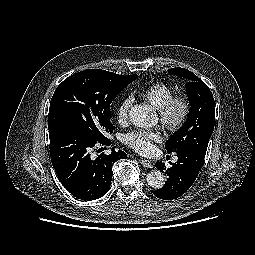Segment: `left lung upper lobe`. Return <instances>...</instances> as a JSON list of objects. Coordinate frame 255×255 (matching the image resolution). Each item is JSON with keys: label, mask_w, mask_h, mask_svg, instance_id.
Listing matches in <instances>:
<instances>
[{"label": "left lung upper lobe", "mask_w": 255, "mask_h": 255, "mask_svg": "<svg viewBox=\"0 0 255 255\" xmlns=\"http://www.w3.org/2000/svg\"><path fill=\"white\" fill-rule=\"evenodd\" d=\"M169 72L188 80L186 92L190 110L183 126L168 139V153L189 150L206 154L215 123V102L208 86L194 73L184 68H172Z\"/></svg>", "instance_id": "obj_1"}]
</instances>
